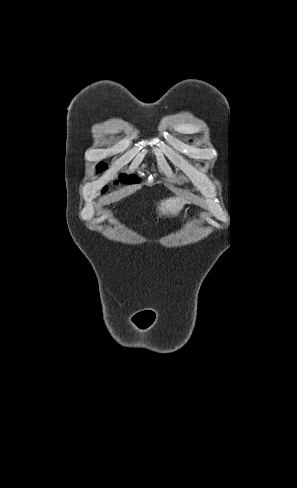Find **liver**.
Instances as JSON below:
<instances>
[{
    "instance_id": "liver-1",
    "label": "liver",
    "mask_w": 297,
    "mask_h": 488,
    "mask_svg": "<svg viewBox=\"0 0 297 488\" xmlns=\"http://www.w3.org/2000/svg\"><path fill=\"white\" fill-rule=\"evenodd\" d=\"M181 208V199L179 197L168 198L160 202L158 206L160 214L167 215L169 213H175Z\"/></svg>"
}]
</instances>
